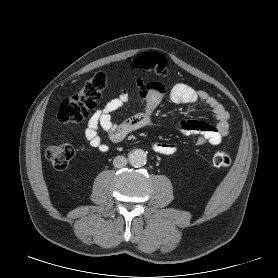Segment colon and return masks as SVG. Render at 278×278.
Instances as JSON below:
<instances>
[{
  "mask_svg": "<svg viewBox=\"0 0 278 278\" xmlns=\"http://www.w3.org/2000/svg\"><path fill=\"white\" fill-rule=\"evenodd\" d=\"M133 65L139 70L151 72L157 76L164 77L168 74L167 60L162 54L157 52H148L138 56ZM106 85V73L97 71L80 93L70 96L61 102L57 111L58 120L63 123H79L83 121L95 109ZM45 154L56 169L63 170L74 157L75 150L70 143H61L49 146ZM212 160L217 167H228L231 164V157L223 150H217Z\"/></svg>",
  "mask_w": 278,
  "mask_h": 278,
  "instance_id": "colon-1",
  "label": "colon"
}]
</instances>
